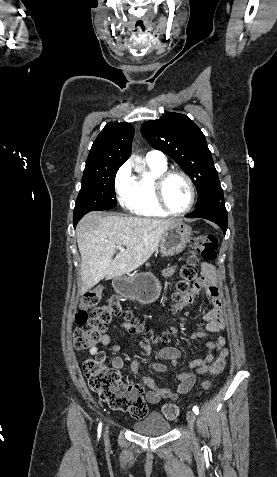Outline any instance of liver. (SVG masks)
<instances>
[{"label": "liver", "mask_w": 277, "mask_h": 477, "mask_svg": "<svg viewBox=\"0 0 277 477\" xmlns=\"http://www.w3.org/2000/svg\"><path fill=\"white\" fill-rule=\"evenodd\" d=\"M175 220L106 216L95 212L85 215L77 226L81 254V294L103 278L122 276L142 266L155 252L166 229ZM125 251L113 259L117 246Z\"/></svg>", "instance_id": "obj_1"}]
</instances>
